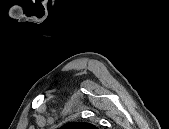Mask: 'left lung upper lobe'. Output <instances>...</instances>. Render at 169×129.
<instances>
[{
  "mask_svg": "<svg viewBox=\"0 0 169 129\" xmlns=\"http://www.w3.org/2000/svg\"><path fill=\"white\" fill-rule=\"evenodd\" d=\"M62 128L63 129H95L96 127L89 123L71 122V123L65 124Z\"/></svg>",
  "mask_w": 169,
  "mask_h": 129,
  "instance_id": "left-lung-upper-lobe-1",
  "label": "left lung upper lobe"
}]
</instances>
